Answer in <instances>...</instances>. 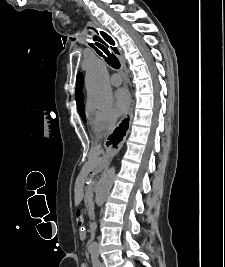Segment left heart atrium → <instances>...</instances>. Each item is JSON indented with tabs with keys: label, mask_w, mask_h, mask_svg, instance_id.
Listing matches in <instances>:
<instances>
[{
	"label": "left heart atrium",
	"mask_w": 225,
	"mask_h": 267,
	"mask_svg": "<svg viewBox=\"0 0 225 267\" xmlns=\"http://www.w3.org/2000/svg\"><path fill=\"white\" fill-rule=\"evenodd\" d=\"M130 104V95L127 90L120 88L114 94V106L118 114L127 111Z\"/></svg>",
	"instance_id": "left-heart-atrium-1"
}]
</instances>
